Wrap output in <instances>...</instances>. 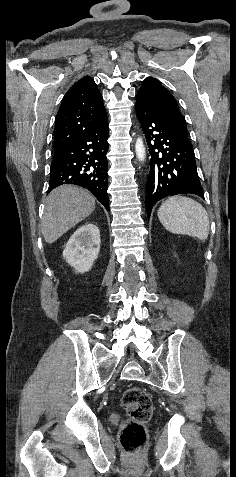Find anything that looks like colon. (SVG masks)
<instances>
[{
	"label": "colon",
	"instance_id": "colon-1",
	"mask_svg": "<svg viewBox=\"0 0 236 477\" xmlns=\"http://www.w3.org/2000/svg\"><path fill=\"white\" fill-rule=\"evenodd\" d=\"M128 420L119 434L120 444L125 453L138 458L143 452L146 442L145 423L153 413V402L148 393L140 387H130L122 397Z\"/></svg>",
	"mask_w": 236,
	"mask_h": 477
}]
</instances>
